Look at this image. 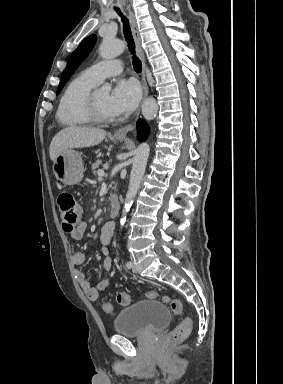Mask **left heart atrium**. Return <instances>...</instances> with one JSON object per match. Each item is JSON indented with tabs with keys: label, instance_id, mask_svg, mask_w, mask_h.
Segmentation results:
<instances>
[{
	"label": "left heart atrium",
	"instance_id": "left-heart-atrium-1",
	"mask_svg": "<svg viewBox=\"0 0 283 384\" xmlns=\"http://www.w3.org/2000/svg\"><path fill=\"white\" fill-rule=\"evenodd\" d=\"M140 98V89L133 80H119L109 93L108 106L115 115L131 113Z\"/></svg>",
	"mask_w": 283,
	"mask_h": 384
}]
</instances>
